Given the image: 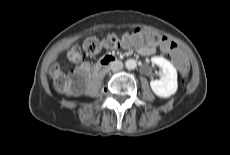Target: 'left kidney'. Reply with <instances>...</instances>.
<instances>
[{
  "instance_id": "5707ae66",
  "label": "left kidney",
  "mask_w": 230,
  "mask_h": 155,
  "mask_svg": "<svg viewBox=\"0 0 230 155\" xmlns=\"http://www.w3.org/2000/svg\"><path fill=\"white\" fill-rule=\"evenodd\" d=\"M151 61L162 69L160 80L150 82L152 91L161 98L172 96L178 88L176 68L163 57H152Z\"/></svg>"
}]
</instances>
